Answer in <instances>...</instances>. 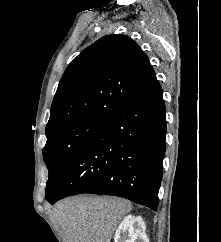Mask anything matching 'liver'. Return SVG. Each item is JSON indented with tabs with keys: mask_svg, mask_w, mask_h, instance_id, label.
Wrapping results in <instances>:
<instances>
[{
	"mask_svg": "<svg viewBox=\"0 0 221 242\" xmlns=\"http://www.w3.org/2000/svg\"><path fill=\"white\" fill-rule=\"evenodd\" d=\"M131 209L125 199L79 196L58 202L51 218L63 242H110L119 222Z\"/></svg>",
	"mask_w": 221,
	"mask_h": 242,
	"instance_id": "6515ba94",
	"label": "liver"
}]
</instances>
